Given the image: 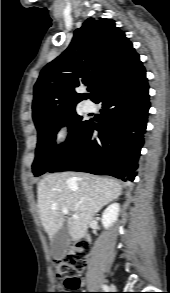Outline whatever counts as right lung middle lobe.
<instances>
[{"mask_svg":"<svg viewBox=\"0 0 170 293\" xmlns=\"http://www.w3.org/2000/svg\"><path fill=\"white\" fill-rule=\"evenodd\" d=\"M87 122L76 114L75 109H71L37 129L38 143L36 157L32 165L35 176L42 175L51 169L68 150ZM65 125L69 128V136L66 142L57 147L55 143L56 133L60 127Z\"/></svg>","mask_w":170,"mask_h":293,"instance_id":"1","label":"right lung middle lobe"}]
</instances>
